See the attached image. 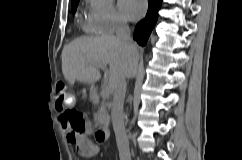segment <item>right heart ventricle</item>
Masks as SVG:
<instances>
[{
  "instance_id": "obj_1",
  "label": "right heart ventricle",
  "mask_w": 242,
  "mask_h": 160,
  "mask_svg": "<svg viewBox=\"0 0 242 160\" xmlns=\"http://www.w3.org/2000/svg\"><path fill=\"white\" fill-rule=\"evenodd\" d=\"M85 23H86V24H88V20H87V21H85Z\"/></svg>"
}]
</instances>
